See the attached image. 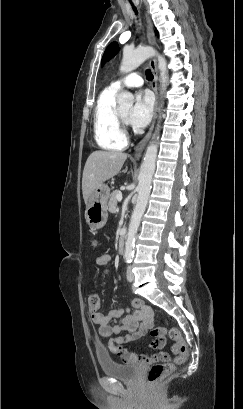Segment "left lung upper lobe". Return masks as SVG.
Returning a JSON list of instances; mask_svg holds the SVG:
<instances>
[{"label":"left lung upper lobe","mask_w":243,"mask_h":409,"mask_svg":"<svg viewBox=\"0 0 243 409\" xmlns=\"http://www.w3.org/2000/svg\"><path fill=\"white\" fill-rule=\"evenodd\" d=\"M119 47L118 44L116 42H112L106 49V51L104 52L103 58H102V65L110 60L113 56L116 55V53L118 52Z\"/></svg>","instance_id":"left-lung-upper-lobe-1"}]
</instances>
